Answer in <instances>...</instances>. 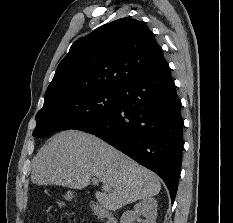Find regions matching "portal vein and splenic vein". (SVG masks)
Segmentation results:
<instances>
[{
    "label": "portal vein and splenic vein",
    "instance_id": "obj_1",
    "mask_svg": "<svg viewBox=\"0 0 233 223\" xmlns=\"http://www.w3.org/2000/svg\"><path fill=\"white\" fill-rule=\"evenodd\" d=\"M91 181H92V183H95V185H98V183H99L98 177H91Z\"/></svg>",
    "mask_w": 233,
    "mask_h": 223
}]
</instances>
